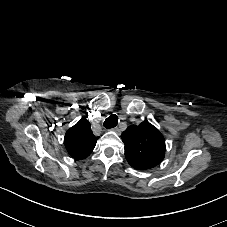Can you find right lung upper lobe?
<instances>
[{
  "mask_svg": "<svg viewBox=\"0 0 227 227\" xmlns=\"http://www.w3.org/2000/svg\"><path fill=\"white\" fill-rule=\"evenodd\" d=\"M98 138L93 135L88 120L81 118L66 132L64 144L71 157L81 160L91 154Z\"/></svg>",
  "mask_w": 227,
  "mask_h": 227,
  "instance_id": "obj_1",
  "label": "right lung upper lobe"
}]
</instances>
